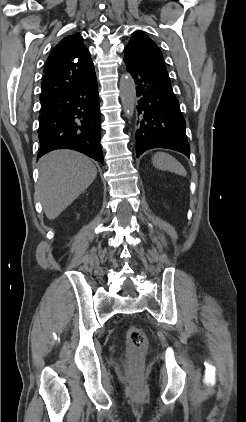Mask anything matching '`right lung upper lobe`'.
<instances>
[{
    "label": "right lung upper lobe",
    "instance_id": "1",
    "mask_svg": "<svg viewBox=\"0 0 246 422\" xmlns=\"http://www.w3.org/2000/svg\"><path fill=\"white\" fill-rule=\"evenodd\" d=\"M79 33L63 38L50 52L41 82L40 102L94 78V64Z\"/></svg>",
    "mask_w": 246,
    "mask_h": 422
}]
</instances>
